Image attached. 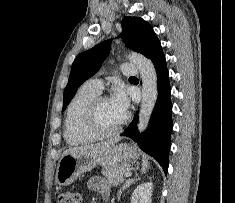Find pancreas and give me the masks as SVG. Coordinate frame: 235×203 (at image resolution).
Listing matches in <instances>:
<instances>
[{
	"label": "pancreas",
	"mask_w": 235,
	"mask_h": 203,
	"mask_svg": "<svg viewBox=\"0 0 235 203\" xmlns=\"http://www.w3.org/2000/svg\"><path fill=\"white\" fill-rule=\"evenodd\" d=\"M130 169L129 164L106 166L102 170V174L112 185H118L124 181L125 173Z\"/></svg>",
	"instance_id": "obj_1"
}]
</instances>
